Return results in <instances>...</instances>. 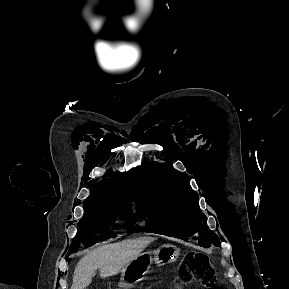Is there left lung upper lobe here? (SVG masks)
I'll use <instances>...</instances> for the list:
<instances>
[{"mask_svg": "<svg viewBox=\"0 0 289 289\" xmlns=\"http://www.w3.org/2000/svg\"><path fill=\"white\" fill-rule=\"evenodd\" d=\"M139 178L137 205L139 219L146 221L144 231L192 240L203 247L220 246L200 211L188 175L174 170L170 163H151L139 171Z\"/></svg>", "mask_w": 289, "mask_h": 289, "instance_id": "left-lung-upper-lobe-1", "label": "left lung upper lobe"}]
</instances>
